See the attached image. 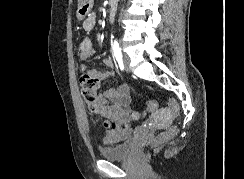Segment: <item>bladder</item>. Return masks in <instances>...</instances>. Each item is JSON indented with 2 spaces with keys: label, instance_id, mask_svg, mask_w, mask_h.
<instances>
[{
  "label": "bladder",
  "instance_id": "31cf9c89",
  "mask_svg": "<svg viewBox=\"0 0 244 179\" xmlns=\"http://www.w3.org/2000/svg\"><path fill=\"white\" fill-rule=\"evenodd\" d=\"M134 139L127 140L123 143L114 144L110 147L100 149V156L108 160L124 159L130 155L133 150Z\"/></svg>",
  "mask_w": 244,
  "mask_h": 179
}]
</instances>
